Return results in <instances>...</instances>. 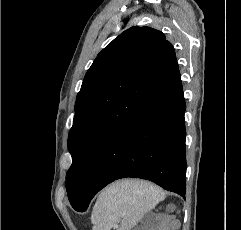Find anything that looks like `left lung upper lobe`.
Wrapping results in <instances>:
<instances>
[{
  "mask_svg": "<svg viewBox=\"0 0 241 230\" xmlns=\"http://www.w3.org/2000/svg\"><path fill=\"white\" fill-rule=\"evenodd\" d=\"M178 69L171 43L149 27L124 31L98 54L77 95L68 137L72 165L66 189L71 205L80 202L105 143Z\"/></svg>",
  "mask_w": 241,
  "mask_h": 230,
  "instance_id": "5c2ea615",
  "label": "left lung upper lobe"
}]
</instances>
